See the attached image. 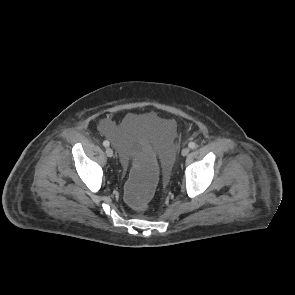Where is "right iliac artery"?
I'll return each mask as SVG.
<instances>
[{
    "label": "right iliac artery",
    "mask_w": 295,
    "mask_h": 295,
    "mask_svg": "<svg viewBox=\"0 0 295 295\" xmlns=\"http://www.w3.org/2000/svg\"><path fill=\"white\" fill-rule=\"evenodd\" d=\"M103 145H104L105 147H108V146H109V142H108L107 140H105V141H103Z\"/></svg>",
    "instance_id": "right-iliac-artery-1"
}]
</instances>
